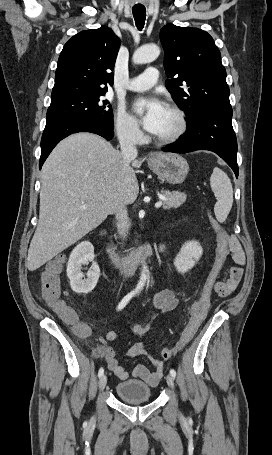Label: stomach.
Wrapping results in <instances>:
<instances>
[{
  "instance_id": "1",
  "label": "stomach",
  "mask_w": 272,
  "mask_h": 455,
  "mask_svg": "<svg viewBox=\"0 0 272 455\" xmlns=\"http://www.w3.org/2000/svg\"><path fill=\"white\" fill-rule=\"evenodd\" d=\"M148 165L159 178L171 184L182 183L189 171L186 159L174 153H158L149 159Z\"/></svg>"
}]
</instances>
